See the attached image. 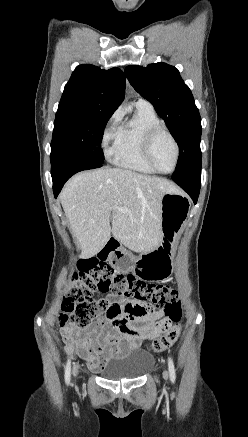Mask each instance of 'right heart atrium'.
<instances>
[{"label":"right heart atrium","instance_id":"obj_1","mask_svg":"<svg viewBox=\"0 0 248 437\" xmlns=\"http://www.w3.org/2000/svg\"><path fill=\"white\" fill-rule=\"evenodd\" d=\"M120 113L114 112L107 120L101 135V144L107 154H111L109 145L115 143L119 130Z\"/></svg>","mask_w":248,"mask_h":437}]
</instances>
